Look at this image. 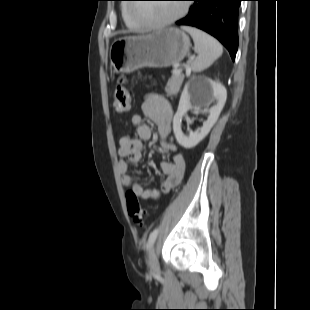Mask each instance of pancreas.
<instances>
[{"mask_svg":"<svg viewBox=\"0 0 310 310\" xmlns=\"http://www.w3.org/2000/svg\"><path fill=\"white\" fill-rule=\"evenodd\" d=\"M183 80H184L183 74L173 73L172 77L169 79L167 86L165 88L167 95L171 97L175 96L179 92Z\"/></svg>","mask_w":310,"mask_h":310,"instance_id":"pancreas-1","label":"pancreas"}]
</instances>
